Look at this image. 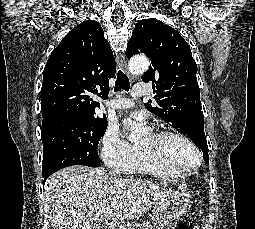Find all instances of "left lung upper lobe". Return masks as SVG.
Segmentation results:
<instances>
[{
    "mask_svg": "<svg viewBox=\"0 0 255 229\" xmlns=\"http://www.w3.org/2000/svg\"><path fill=\"white\" fill-rule=\"evenodd\" d=\"M143 53L150 58L142 81L153 83L156 105L149 100L146 109L162 118L178 132L187 135L203 152L209 163L203 126L197 65L184 38L172 27L156 19L139 21L133 30L126 56Z\"/></svg>",
    "mask_w": 255,
    "mask_h": 229,
    "instance_id": "left-lung-upper-lobe-1",
    "label": "left lung upper lobe"
}]
</instances>
